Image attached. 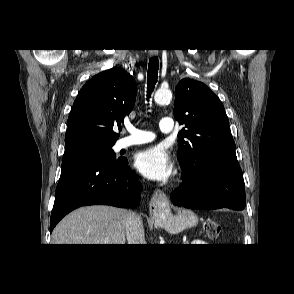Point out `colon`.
<instances>
[{"label":"colon","instance_id":"1","mask_svg":"<svg viewBox=\"0 0 294 294\" xmlns=\"http://www.w3.org/2000/svg\"><path fill=\"white\" fill-rule=\"evenodd\" d=\"M206 236L209 240L215 241L220 236L222 224L215 221H208L204 226Z\"/></svg>","mask_w":294,"mask_h":294}]
</instances>
